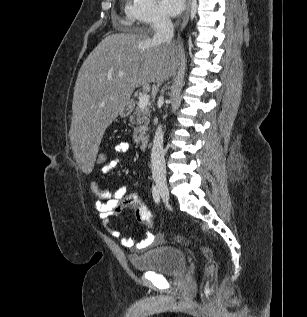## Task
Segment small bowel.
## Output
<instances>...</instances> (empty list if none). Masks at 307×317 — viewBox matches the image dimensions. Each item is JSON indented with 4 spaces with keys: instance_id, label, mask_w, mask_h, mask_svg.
I'll list each match as a JSON object with an SVG mask.
<instances>
[{
    "instance_id": "obj_1",
    "label": "small bowel",
    "mask_w": 307,
    "mask_h": 317,
    "mask_svg": "<svg viewBox=\"0 0 307 317\" xmlns=\"http://www.w3.org/2000/svg\"><path fill=\"white\" fill-rule=\"evenodd\" d=\"M131 151V144L127 141L118 142L114 147V158L106 165L101 167L100 173L103 175L111 172L120 162L121 157ZM90 191L95 195L94 208L98 216L103 220L104 227L114 236L120 237L118 230L111 226L109 217L117 215L115 208L121 203L126 196L128 187L121 185L115 190H107L100 188L96 180L90 182ZM155 236L152 233H147L141 241L135 242L132 238L121 237L123 246L131 249L142 250L150 246L154 242Z\"/></svg>"
}]
</instances>
